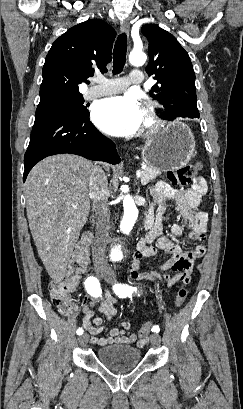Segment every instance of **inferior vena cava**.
Returning <instances> with one entry per match:
<instances>
[{
	"mask_svg": "<svg viewBox=\"0 0 243 409\" xmlns=\"http://www.w3.org/2000/svg\"><path fill=\"white\" fill-rule=\"evenodd\" d=\"M89 196L93 199V210L96 216V236L92 246L95 267L108 270L106 246L110 231V210L108 204L109 188L104 171L93 167L89 179Z\"/></svg>",
	"mask_w": 243,
	"mask_h": 409,
	"instance_id": "inferior-vena-cava-1",
	"label": "inferior vena cava"
}]
</instances>
